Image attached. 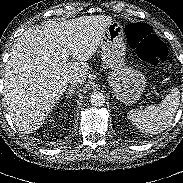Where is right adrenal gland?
Instances as JSON below:
<instances>
[{"instance_id":"obj_1","label":"right adrenal gland","mask_w":183,"mask_h":183,"mask_svg":"<svg viewBox=\"0 0 183 183\" xmlns=\"http://www.w3.org/2000/svg\"><path fill=\"white\" fill-rule=\"evenodd\" d=\"M75 86H71V87H69L68 88V92L66 93V97H70V98H72V96H73V94H74V92H75Z\"/></svg>"}]
</instances>
